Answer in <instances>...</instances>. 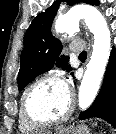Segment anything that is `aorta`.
I'll return each mask as SVG.
<instances>
[{"mask_svg":"<svg viewBox=\"0 0 116 134\" xmlns=\"http://www.w3.org/2000/svg\"><path fill=\"white\" fill-rule=\"evenodd\" d=\"M84 19L86 26L94 35L93 52L84 73L79 89V107L87 109L95 99L103 78L110 55V30L103 15L94 7L79 5L61 15L55 25L57 33L75 29L79 20Z\"/></svg>","mask_w":116,"mask_h":134,"instance_id":"aorta-1","label":"aorta"}]
</instances>
